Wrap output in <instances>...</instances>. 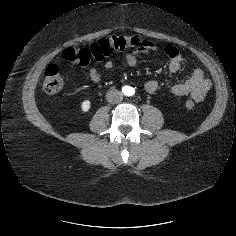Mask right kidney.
I'll use <instances>...</instances> for the list:
<instances>
[{
    "instance_id": "right-kidney-1",
    "label": "right kidney",
    "mask_w": 236,
    "mask_h": 236,
    "mask_svg": "<svg viewBox=\"0 0 236 236\" xmlns=\"http://www.w3.org/2000/svg\"><path fill=\"white\" fill-rule=\"evenodd\" d=\"M90 107H91V102H90V100H88V99L84 100V101L81 103V110H82L83 113L88 112L89 109H90Z\"/></svg>"
}]
</instances>
